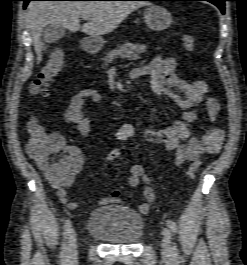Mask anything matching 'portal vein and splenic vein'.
Segmentation results:
<instances>
[{
	"mask_svg": "<svg viewBox=\"0 0 247 265\" xmlns=\"http://www.w3.org/2000/svg\"><path fill=\"white\" fill-rule=\"evenodd\" d=\"M82 19L83 20H88V19H90V17L89 16H83Z\"/></svg>",
	"mask_w": 247,
	"mask_h": 265,
	"instance_id": "obj_1",
	"label": "portal vein and splenic vein"
}]
</instances>
